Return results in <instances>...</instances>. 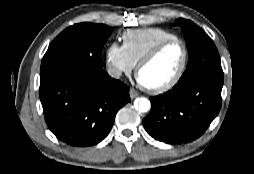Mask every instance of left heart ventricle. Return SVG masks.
Segmentation results:
<instances>
[{
    "label": "left heart ventricle",
    "mask_w": 254,
    "mask_h": 174,
    "mask_svg": "<svg viewBox=\"0 0 254 174\" xmlns=\"http://www.w3.org/2000/svg\"><path fill=\"white\" fill-rule=\"evenodd\" d=\"M183 59V48L179 43L165 47L148 65L143 67L139 80L147 86H159L171 80L179 70Z\"/></svg>",
    "instance_id": "b2bd125f"
}]
</instances>
